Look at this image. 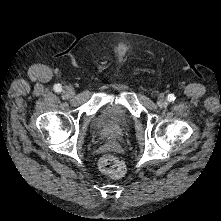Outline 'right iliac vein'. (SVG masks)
Returning <instances> with one entry per match:
<instances>
[{
    "label": "right iliac vein",
    "mask_w": 221,
    "mask_h": 221,
    "mask_svg": "<svg viewBox=\"0 0 221 221\" xmlns=\"http://www.w3.org/2000/svg\"><path fill=\"white\" fill-rule=\"evenodd\" d=\"M63 93L66 97H72L74 95V90L70 86H66L63 90Z\"/></svg>",
    "instance_id": "obj_1"
}]
</instances>
